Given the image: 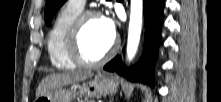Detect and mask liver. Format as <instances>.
<instances>
[{"mask_svg":"<svg viewBox=\"0 0 221 102\" xmlns=\"http://www.w3.org/2000/svg\"><path fill=\"white\" fill-rule=\"evenodd\" d=\"M91 72H65L62 74H50L46 76L39 84L36 96L48 94L52 90L62 88L63 86L84 81L91 78Z\"/></svg>","mask_w":221,"mask_h":102,"instance_id":"6515ba94","label":"liver"}]
</instances>
